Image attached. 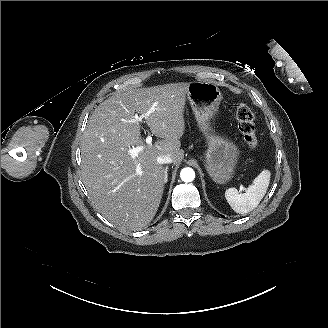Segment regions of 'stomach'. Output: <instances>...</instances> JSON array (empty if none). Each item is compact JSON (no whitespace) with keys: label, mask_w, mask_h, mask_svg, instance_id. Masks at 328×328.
<instances>
[{"label":"stomach","mask_w":328,"mask_h":328,"mask_svg":"<svg viewBox=\"0 0 328 328\" xmlns=\"http://www.w3.org/2000/svg\"><path fill=\"white\" fill-rule=\"evenodd\" d=\"M188 98L199 133L205 141V151L200 157L205 170L217 185L231 182L242 151L235 141L216 129L215 119L220 115L222 100L220 89L212 82L190 83Z\"/></svg>","instance_id":"1"}]
</instances>
